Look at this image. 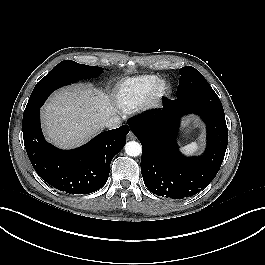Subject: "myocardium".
<instances>
[{"label":"myocardium","mask_w":265,"mask_h":265,"mask_svg":"<svg viewBox=\"0 0 265 265\" xmlns=\"http://www.w3.org/2000/svg\"><path fill=\"white\" fill-rule=\"evenodd\" d=\"M170 89L171 86L166 80L159 79L149 93L144 108L147 110L158 109L162 105L163 100L169 95Z\"/></svg>","instance_id":"f54148a6"}]
</instances>
